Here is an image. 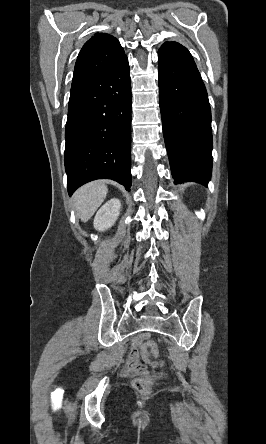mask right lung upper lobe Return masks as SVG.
I'll list each match as a JSON object with an SVG mask.
<instances>
[{"label":"right lung upper lobe","instance_id":"1","mask_svg":"<svg viewBox=\"0 0 266 444\" xmlns=\"http://www.w3.org/2000/svg\"><path fill=\"white\" fill-rule=\"evenodd\" d=\"M124 55L115 37L106 33L95 34L84 44L77 57L70 95L97 80Z\"/></svg>","mask_w":266,"mask_h":444}]
</instances>
